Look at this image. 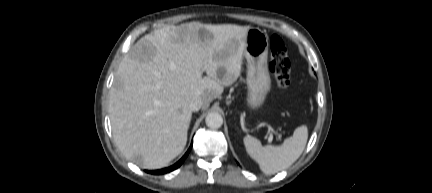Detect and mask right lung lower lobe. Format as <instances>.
I'll use <instances>...</instances> for the list:
<instances>
[{
	"instance_id": "obj_1",
	"label": "right lung lower lobe",
	"mask_w": 432,
	"mask_h": 193,
	"mask_svg": "<svg viewBox=\"0 0 432 193\" xmlns=\"http://www.w3.org/2000/svg\"><path fill=\"white\" fill-rule=\"evenodd\" d=\"M191 148H192V145L190 146V148L188 149V151L185 153V155L177 163H175L171 167L164 168V169H161V170L147 171V172L151 173V174H164V173H167V172H170V171H173V170L177 169L183 163V161L186 159V157H187L188 153L190 152Z\"/></svg>"
}]
</instances>
